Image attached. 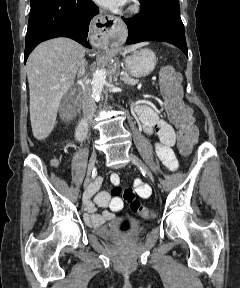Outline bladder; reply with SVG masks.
<instances>
[{
  "instance_id": "1",
  "label": "bladder",
  "mask_w": 240,
  "mask_h": 288,
  "mask_svg": "<svg viewBox=\"0 0 240 288\" xmlns=\"http://www.w3.org/2000/svg\"><path fill=\"white\" fill-rule=\"evenodd\" d=\"M145 230H146L145 227L140 226L135 230V235L140 236V235L144 234ZM96 233L102 237H105V238H111L112 237V231H111V229H109L107 227L97 229Z\"/></svg>"
}]
</instances>
